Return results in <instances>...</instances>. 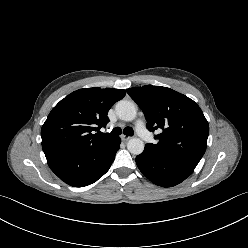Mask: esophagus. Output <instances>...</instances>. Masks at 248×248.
Returning a JSON list of instances; mask_svg holds the SVG:
<instances>
[{
  "instance_id": "1",
  "label": "esophagus",
  "mask_w": 248,
  "mask_h": 248,
  "mask_svg": "<svg viewBox=\"0 0 248 248\" xmlns=\"http://www.w3.org/2000/svg\"><path fill=\"white\" fill-rule=\"evenodd\" d=\"M121 138L123 141H129L132 137L127 135H122Z\"/></svg>"
}]
</instances>
